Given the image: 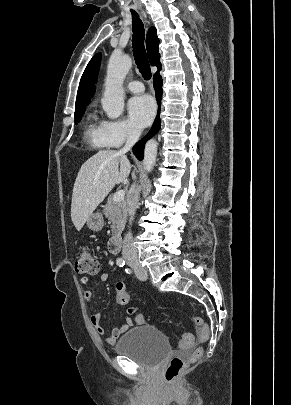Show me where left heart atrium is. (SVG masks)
Instances as JSON below:
<instances>
[{"mask_svg":"<svg viewBox=\"0 0 291 405\" xmlns=\"http://www.w3.org/2000/svg\"><path fill=\"white\" fill-rule=\"evenodd\" d=\"M155 104L148 95L133 97L128 103L130 121L138 128L147 126L153 119Z\"/></svg>","mask_w":291,"mask_h":405,"instance_id":"left-heart-atrium-1","label":"left heart atrium"}]
</instances>
